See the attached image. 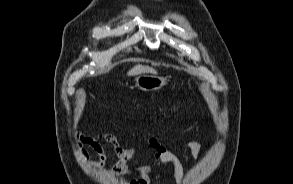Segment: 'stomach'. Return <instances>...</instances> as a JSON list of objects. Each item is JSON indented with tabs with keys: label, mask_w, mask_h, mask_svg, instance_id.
<instances>
[{
	"label": "stomach",
	"mask_w": 293,
	"mask_h": 184,
	"mask_svg": "<svg viewBox=\"0 0 293 184\" xmlns=\"http://www.w3.org/2000/svg\"><path fill=\"white\" fill-rule=\"evenodd\" d=\"M167 84V79L155 74L143 73L135 78V86L142 91H156Z\"/></svg>",
	"instance_id": "stomach-1"
}]
</instances>
